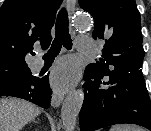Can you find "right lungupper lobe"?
<instances>
[{
    "mask_svg": "<svg viewBox=\"0 0 151 131\" xmlns=\"http://www.w3.org/2000/svg\"><path fill=\"white\" fill-rule=\"evenodd\" d=\"M62 0H5L0 8V82L30 76L25 56L40 42L48 46Z\"/></svg>",
    "mask_w": 151,
    "mask_h": 131,
    "instance_id": "right-lung-upper-lobe-1",
    "label": "right lung upper lobe"
}]
</instances>
